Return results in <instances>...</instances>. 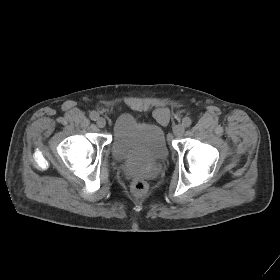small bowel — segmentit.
<instances>
[{"instance_id":"1","label":"small bowel","mask_w":280,"mask_h":280,"mask_svg":"<svg viewBox=\"0 0 280 280\" xmlns=\"http://www.w3.org/2000/svg\"><path fill=\"white\" fill-rule=\"evenodd\" d=\"M156 115L159 119L166 121L169 117V111L167 109H158Z\"/></svg>"}]
</instances>
